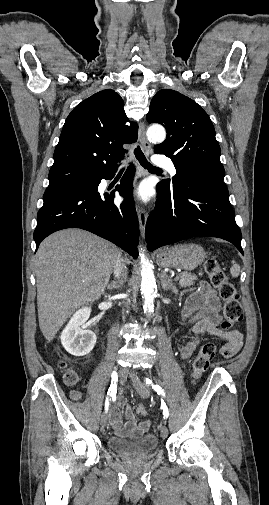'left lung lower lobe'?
<instances>
[{
  "mask_svg": "<svg viewBox=\"0 0 269 505\" xmlns=\"http://www.w3.org/2000/svg\"><path fill=\"white\" fill-rule=\"evenodd\" d=\"M175 187L157 185L156 207L146 225L149 251L187 238L203 236L225 239L242 253L241 231L235 222L224 181L216 177L187 174Z\"/></svg>",
  "mask_w": 269,
  "mask_h": 505,
  "instance_id": "0a47b994",
  "label": "left lung lower lobe"
}]
</instances>
